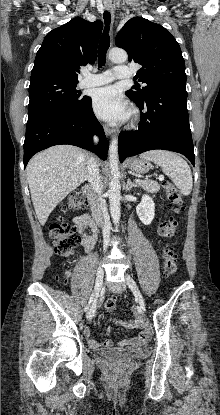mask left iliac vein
I'll use <instances>...</instances> for the list:
<instances>
[{
    "mask_svg": "<svg viewBox=\"0 0 220 415\" xmlns=\"http://www.w3.org/2000/svg\"><path fill=\"white\" fill-rule=\"evenodd\" d=\"M125 279H126V282L129 286V288L132 290V292L134 293L136 299L138 300V303H139L140 307L142 309H145L144 298H143L139 288L137 287L135 281L133 280V278L128 273H125Z\"/></svg>",
    "mask_w": 220,
    "mask_h": 415,
    "instance_id": "left-iliac-vein-1",
    "label": "left iliac vein"
}]
</instances>
